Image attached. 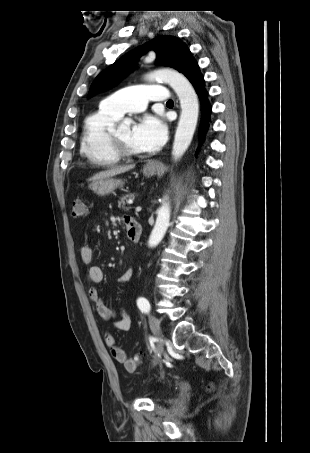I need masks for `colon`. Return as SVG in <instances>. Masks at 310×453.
<instances>
[{
	"instance_id": "5ec220e1",
	"label": "colon",
	"mask_w": 310,
	"mask_h": 453,
	"mask_svg": "<svg viewBox=\"0 0 310 453\" xmlns=\"http://www.w3.org/2000/svg\"><path fill=\"white\" fill-rule=\"evenodd\" d=\"M86 204L82 199H76L72 203V215L75 218H81L86 214ZM140 357L138 355L129 358L125 362V368L127 371H135L140 365Z\"/></svg>"
}]
</instances>
